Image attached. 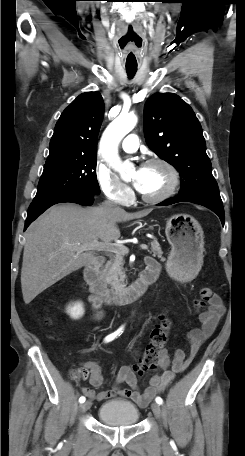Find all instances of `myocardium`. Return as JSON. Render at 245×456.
<instances>
[{
    "mask_svg": "<svg viewBox=\"0 0 245 456\" xmlns=\"http://www.w3.org/2000/svg\"><path fill=\"white\" fill-rule=\"evenodd\" d=\"M155 164L162 165L168 170L171 176V182L164 192L156 196H148L138 190L139 197L147 203H159L165 201L166 199L170 198L172 195L175 194L180 184V173L178 169L171 162L164 158H150L142 164V167L151 166Z\"/></svg>",
    "mask_w": 245,
    "mask_h": 456,
    "instance_id": "obj_1",
    "label": "myocardium"
}]
</instances>
